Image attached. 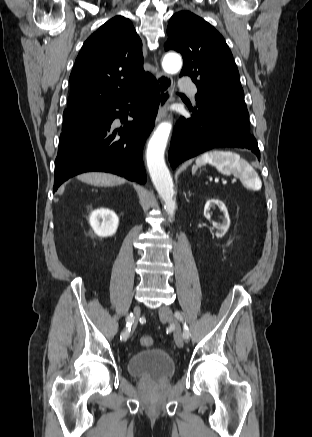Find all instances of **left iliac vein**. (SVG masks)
I'll return each mask as SVG.
<instances>
[{
    "mask_svg": "<svg viewBox=\"0 0 312 437\" xmlns=\"http://www.w3.org/2000/svg\"><path fill=\"white\" fill-rule=\"evenodd\" d=\"M159 316L161 319L168 321L174 327V339L178 347H183L184 337L182 335L181 329L174 318L173 311L168 306H163L159 309Z\"/></svg>",
    "mask_w": 312,
    "mask_h": 437,
    "instance_id": "obj_1",
    "label": "left iliac vein"
}]
</instances>
